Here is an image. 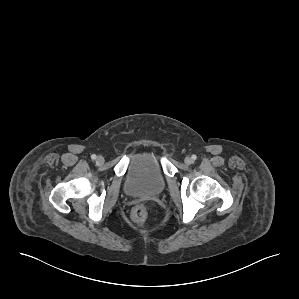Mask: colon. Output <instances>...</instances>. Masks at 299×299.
I'll return each mask as SVG.
<instances>
[{"label":"colon","instance_id":"5ec220e1","mask_svg":"<svg viewBox=\"0 0 299 299\" xmlns=\"http://www.w3.org/2000/svg\"><path fill=\"white\" fill-rule=\"evenodd\" d=\"M148 209L144 205H138L131 211V219L136 223L145 222L148 218Z\"/></svg>","mask_w":299,"mask_h":299}]
</instances>
